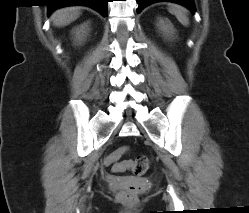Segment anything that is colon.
I'll list each match as a JSON object with an SVG mask.
<instances>
[{
  "instance_id": "1",
  "label": "colon",
  "mask_w": 249,
  "mask_h": 213,
  "mask_svg": "<svg viewBox=\"0 0 249 213\" xmlns=\"http://www.w3.org/2000/svg\"><path fill=\"white\" fill-rule=\"evenodd\" d=\"M129 151L127 146L119 147L111 152L104 160L108 166H112V171L123 172L130 170L135 176L143 175L150 166V159L146 156H139L134 161H120V158ZM138 195V187L130 185L123 189L118 197L126 203H133Z\"/></svg>"
}]
</instances>
